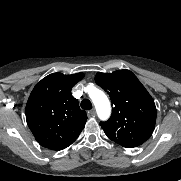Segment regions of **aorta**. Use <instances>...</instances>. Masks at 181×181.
<instances>
[{
	"mask_svg": "<svg viewBox=\"0 0 181 181\" xmlns=\"http://www.w3.org/2000/svg\"><path fill=\"white\" fill-rule=\"evenodd\" d=\"M89 96L95 105L99 118L101 120L108 119L111 113V106L105 93L96 87H90Z\"/></svg>",
	"mask_w": 181,
	"mask_h": 181,
	"instance_id": "obj_1",
	"label": "aorta"
}]
</instances>
